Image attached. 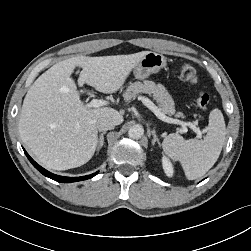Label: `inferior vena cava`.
I'll return each mask as SVG.
<instances>
[{
  "mask_svg": "<svg viewBox=\"0 0 251 251\" xmlns=\"http://www.w3.org/2000/svg\"><path fill=\"white\" fill-rule=\"evenodd\" d=\"M116 122L109 117H101L96 122V127L99 131H107L114 129Z\"/></svg>",
  "mask_w": 251,
  "mask_h": 251,
  "instance_id": "1",
  "label": "inferior vena cava"
}]
</instances>
